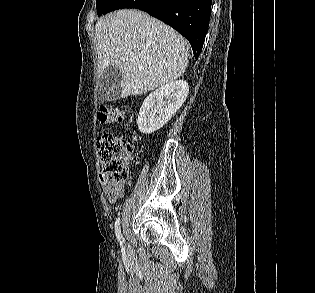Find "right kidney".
Wrapping results in <instances>:
<instances>
[{
    "mask_svg": "<svg viewBox=\"0 0 315 293\" xmlns=\"http://www.w3.org/2000/svg\"><path fill=\"white\" fill-rule=\"evenodd\" d=\"M188 92V83L177 80L150 93L138 115L137 125L140 132L151 134L162 128L182 106Z\"/></svg>",
    "mask_w": 315,
    "mask_h": 293,
    "instance_id": "obj_1",
    "label": "right kidney"
}]
</instances>
